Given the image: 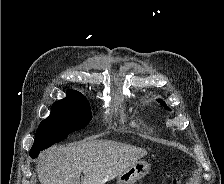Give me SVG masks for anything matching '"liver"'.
Listing matches in <instances>:
<instances>
[{
  "label": "liver",
  "mask_w": 224,
  "mask_h": 184,
  "mask_svg": "<svg viewBox=\"0 0 224 184\" xmlns=\"http://www.w3.org/2000/svg\"><path fill=\"white\" fill-rule=\"evenodd\" d=\"M147 155V151L126 143L92 140L78 145L53 146L37 161L41 184H105Z\"/></svg>",
  "instance_id": "1"
}]
</instances>
